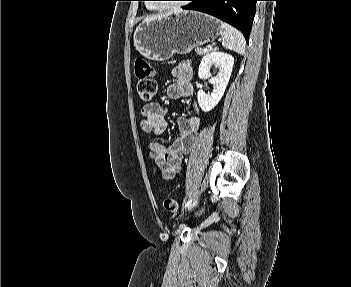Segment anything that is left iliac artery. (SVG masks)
<instances>
[{"instance_id": "left-iliac-artery-1", "label": "left iliac artery", "mask_w": 351, "mask_h": 287, "mask_svg": "<svg viewBox=\"0 0 351 287\" xmlns=\"http://www.w3.org/2000/svg\"><path fill=\"white\" fill-rule=\"evenodd\" d=\"M192 203V199H189L186 203H185V205H184V207L186 208V207H189V205Z\"/></svg>"}]
</instances>
